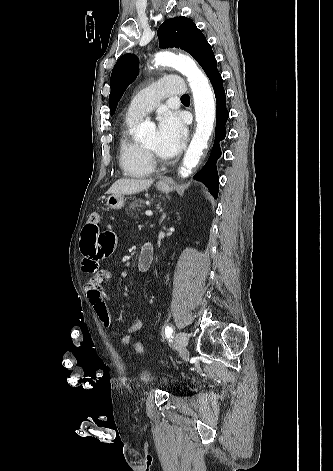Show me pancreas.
Listing matches in <instances>:
<instances>
[{"label": "pancreas", "instance_id": "obj_1", "mask_svg": "<svg viewBox=\"0 0 333 471\" xmlns=\"http://www.w3.org/2000/svg\"><path fill=\"white\" fill-rule=\"evenodd\" d=\"M144 203L143 200L138 199L132 202L129 206V210H135L138 206H141Z\"/></svg>", "mask_w": 333, "mask_h": 471}]
</instances>
